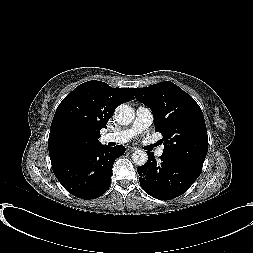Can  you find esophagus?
Returning <instances> with one entry per match:
<instances>
[{"label":"esophagus","instance_id":"obj_1","mask_svg":"<svg viewBox=\"0 0 253 253\" xmlns=\"http://www.w3.org/2000/svg\"><path fill=\"white\" fill-rule=\"evenodd\" d=\"M135 150H137L136 147H128V148H127V151H129V152H133V151H135Z\"/></svg>","mask_w":253,"mask_h":253}]
</instances>
